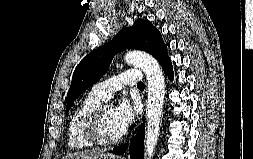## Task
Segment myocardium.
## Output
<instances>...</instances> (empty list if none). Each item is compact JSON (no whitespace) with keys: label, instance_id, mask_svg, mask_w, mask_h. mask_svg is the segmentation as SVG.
I'll list each match as a JSON object with an SVG mask.
<instances>
[{"label":"myocardium","instance_id":"1","mask_svg":"<svg viewBox=\"0 0 253 159\" xmlns=\"http://www.w3.org/2000/svg\"><path fill=\"white\" fill-rule=\"evenodd\" d=\"M110 106L111 105L109 103L103 102L99 104L88 117V120L85 124V137L91 145L101 147L113 146L121 142L124 137V134H121L116 138L107 139L102 134V115L104 110Z\"/></svg>","mask_w":253,"mask_h":159}]
</instances>
